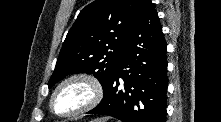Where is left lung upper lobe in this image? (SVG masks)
<instances>
[{
	"mask_svg": "<svg viewBox=\"0 0 221 122\" xmlns=\"http://www.w3.org/2000/svg\"><path fill=\"white\" fill-rule=\"evenodd\" d=\"M141 0H96L79 13L49 80L51 88L70 74L89 73L106 90L136 20Z\"/></svg>",
	"mask_w": 221,
	"mask_h": 122,
	"instance_id": "left-lung-upper-lobe-1",
	"label": "left lung upper lobe"
}]
</instances>
